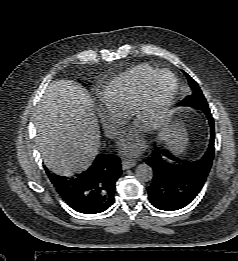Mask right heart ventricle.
<instances>
[{"label":"right heart ventricle","instance_id":"1","mask_svg":"<svg viewBox=\"0 0 238 261\" xmlns=\"http://www.w3.org/2000/svg\"><path fill=\"white\" fill-rule=\"evenodd\" d=\"M154 71L153 67L140 64L117 76L98 93L103 109L128 116L143 81Z\"/></svg>","mask_w":238,"mask_h":261}]
</instances>
